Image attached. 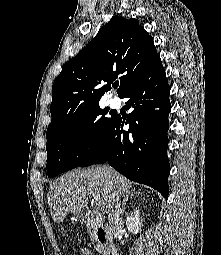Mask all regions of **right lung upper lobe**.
Segmentation results:
<instances>
[{"instance_id": "cb5924a9", "label": "right lung upper lobe", "mask_w": 221, "mask_h": 255, "mask_svg": "<svg viewBox=\"0 0 221 255\" xmlns=\"http://www.w3.org/2000/svg\"><path fill=\"white\" fill-rule=\"evenodd\" d=\"M158 57L153 38L137 19L113 16L55 79L47 132L71 114L99 103L118 75L121 97Z\"/></svg>"}]
</instances>
